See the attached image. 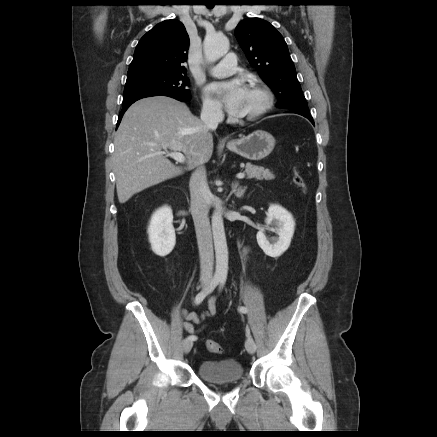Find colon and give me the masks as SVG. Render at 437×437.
Segmentation results:
<instances>
[{"instance_id": "obj_1", "label": "colon", "mask_w": 437, "mask_h": 437, "mask_svg": "<svg viewBox=\"0 0 437 437\" xmlns=\"http://www.w3.org/2000/svg\"><path fill=\"white\" fill-rule=\"evenodd\" d=\"M292 180L299 189H301L303 192H306V183L304 181V178L302 177L301 173L296 169L293 170ZM206 348L210 353H220L222 351L220 344L214 340H208L206 342Z\"/></svg>"}]
</instances>
